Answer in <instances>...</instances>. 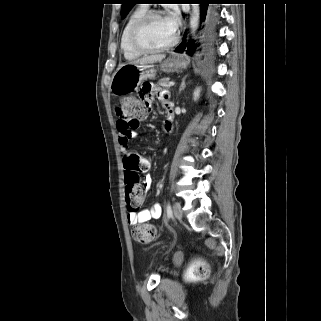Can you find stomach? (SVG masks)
Instances as JSON below:
<instances>
[{"mask_svg": "<svg viewBox=\"0 0 321 321\" xmlns=\"http://www.w3.org/2000/svg\"><path fill=\"white\" fill-rule=\"evenodd\" d=\"M187 65L185 59L179 55H172L160 63V69L165 73H174ZM156 69L152 64H125L117 68L113 74L110 90L115 95H125L136 90L142 80L152 79Z\"/></svg>", "mask_w": 321, "mask_h": 321, "instance_id": "0dacf381", "label": "stomach"}]
</instances>
